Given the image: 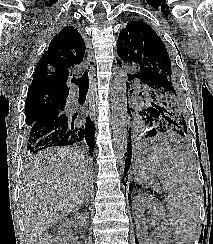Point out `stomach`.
I'll return each instance as SVG.
<instances>
[{
    "label": "stomach",
    "mask_w": 213,
    "mask_h": 244,
    "mask_svg": "<svg viewBox=\"0 0 213 244\" xmlns=\"http://www.w3.org/2000/svg\"><path fill=\"white\" fill-rule=\"evenodd\" d=\"M144 154H151V149H144ZM149 156V155H148ZM148 156L143 161H137L134 166V173L138 181L147 186L155 188L160 178L158 169L154 167V162L149 161Z\"/></svg>",
    "instance_id": "obj_1"
}]
</instances>
